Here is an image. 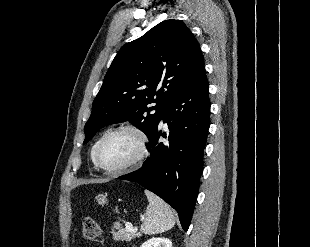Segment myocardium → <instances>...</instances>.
<instances>
[{"mask_svg": "<svg viewBox=\"0 0 310 247\" xmlns=\"http://www.w3.org/2000/svg\"><path fill=\"white\" fill-rule=\"evenodd\" d=\"M119 132H130L132 133L136 138L138 142V149L135 156L125 164L114 167V168H108L103 166L99 161V152L105 141L110 138L111 136L119 133ZM148 152V138L146 133L143 129L140 127L134 125V124H121L111 130H109L98 142L94 154H93V161L95 165L100 168L101 170L105 171L108 174L117 175L122 174L136 166H138L146 157Z\"/></svg>", "mask_w": 310, "mask_h": 247, "instance_id": "1", "label": "myocardium"}]
</instances>
